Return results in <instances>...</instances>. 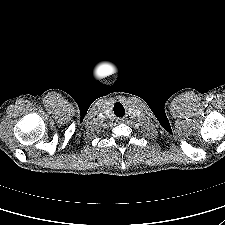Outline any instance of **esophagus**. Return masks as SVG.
Wrapping results in <instances>:
<instances>
[{
  "label": "esophagus",
  "instance_id": "1",
  "mask_svg": "<svg viewBox=\"0 0 225 225\" xmlns=\"http://www.w3.org/2000/svg\"><path fill=\"white\" fill-rule=\"evenodd\" d=\"M119 122H124V118L119 119Z\"/></svg>",
  "mask_w": 225,
  "mask_h": 225
}]
</instances>
